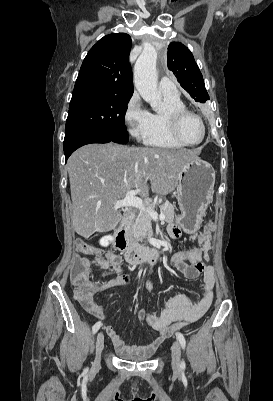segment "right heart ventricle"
<instances>
[{
	"label": "right heart ventricle",
	"mask_w": 273,
	"mask_h": 401,
	"mask_svg": "<svg viewBox=\"0 0 273 401\" xmlns=\"http://www.w3.org/2000/svg\"><path fill=\"white\" fill-rule=\"evenodd\" d=\"M165 110L163 112L150 113L148 132L144 139L146 145L162 148H182L170 135L167 123V111L186 108L180 94L164 95Z\"/></svg>",
	"instance_id": "e07e8e85"
}]
</instances>
